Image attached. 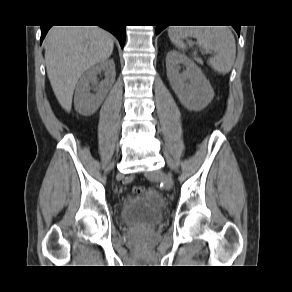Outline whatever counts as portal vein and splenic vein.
Instances as JSON below:
<instances>
[{
    "mask_svg": "<svg viewBox=\"0 0 292 292\" xmlns=\"http://www.w3.org/2000/svg\"><path fill=\"white\" fill-rule=\"evenodd\" d=\"M204 53H206V54H207V53H209V52H208V51H205Z\"/></svg>",
    "mask_w": 292,
    "mask_h": 292,
    "instance_id": "obj_1",
    "label": "portal vein and splenic vein"
}]
</instances>
